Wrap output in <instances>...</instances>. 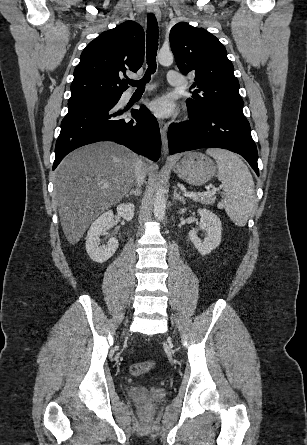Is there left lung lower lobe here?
Here are the masks:
<instances>
[{"mask_svg":"<svg viewBox=\"0 0 307 445\" xmlns=\"http://www.w3.org/2000/svg\"><path fill=\"white\" fill-rule=\"evenodd\" d=\"M190 116V115H189ZM169 153L217 147L242 155L259 176L258 153L244 115L215 111L172 124L168 131Z\"/></svg>","mask_w":307,"mask_h":445,"instance_id":"obj_1","label":"left lung lower lobe"}]
</instances>
